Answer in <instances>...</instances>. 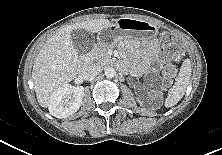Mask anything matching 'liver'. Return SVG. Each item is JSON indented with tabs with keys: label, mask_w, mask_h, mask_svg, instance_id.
<instances>
[{
	"label": "liver",
	"mask_w": 222,
	"mask_h": 155,
	"mask_svg": "<svg viewBox=\"0 0 222 155\" xmlns=\"http://www.w3.org/2000/svg\"><path fill=\"white\" fill-rule=\"evenodd\" d=\"M119 19H94L69 25L54 34L40 49L34 62L32 80L37 100L42 107H48L51 95L63 84L72 81L80 72L78 52L71 42V32L84 29L97 33L110 27Z\"/></svg>",
	"instance_id": "obj_1"
}]
</instances>
